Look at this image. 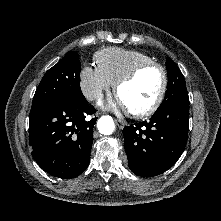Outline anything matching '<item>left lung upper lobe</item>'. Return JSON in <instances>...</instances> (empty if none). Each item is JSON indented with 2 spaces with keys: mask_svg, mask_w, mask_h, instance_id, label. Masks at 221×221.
<instances>
[{
  "mask_svg": "<svg viewBox=\"0 0 221 221\" xmlns=\"http://www.w3.org/2000/svg\"><path fill=\"white\" fill-rule=\"evenodd\" d=\"M166 67L168 75L167 91L162 104L157 110L164 108L179 98L188 97L185 79L171 58L166 59Z\"/></svg>",
  "mask_w": 221,
  "mask_h": 221,
  "instance_id": "left-lung-upper-lobe-1",
  "label": "left lung upper lobe"
}]
</instances>
